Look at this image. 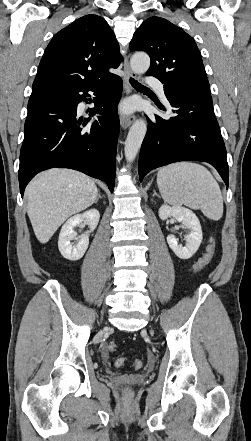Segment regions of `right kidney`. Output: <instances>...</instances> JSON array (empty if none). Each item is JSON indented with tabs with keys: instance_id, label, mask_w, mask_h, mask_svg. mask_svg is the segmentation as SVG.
Returning <instances> with one entry per match:
<instances>
[{
	"instance_id": "obj_1",
	"label": "right kidney",
	"mask_w": 251,
	"mask_h": 441,
	"mask_svg": "<svg viewBox=\"0 0 251 441\" xmlns=\"http://www.w3.org/2000/svg\"><path fill=\"white\" fill-rule=\"evenodd\" d=\"M99 219V211L90 209L67 220L61 228L58 240V248L64 258L70 261H77L83 257L89 245V232L97 227ZM83 221L88 223L90 231L77 236L74 227ZM73 240H76V242H71Z\"/></svg>"
}]
</instances>
